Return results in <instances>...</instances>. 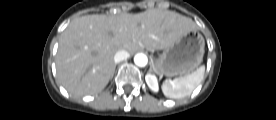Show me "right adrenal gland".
Listing matches in <instances>:
<instances>
[{"label": "right adrenal gland", "instance_id": "obj_1", "mask_svg": "<svg viewBox=\"0 0 276 120\" xmlns=\"http://www.w3.org/2000/svg\"><path fill=\"white\" fill-rule=\"evenodd\" d=\"M116 65H117V64H115V66H114V70H113V73H112V76H111V77H113V75H114Z\"/></svg>", "mask_w": 276, "mask_h": 120}]
</instances>
